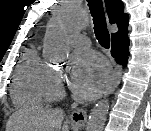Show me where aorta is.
Wrapping results in <instances>:
<instances>
[{
  "instance_id": "aorta-1",
  "label": "aorta",
  "mask_w": 151,
  "mask_h": 131,
  "mask_svg": "<svg viewBox=\"0 0 151 131\" xmlns=\"http://www.w3.org/2000/svg\"><path fill=\"white\" fill-rule=\"evenodd\" d=\"M50 23L45 38L44 55L51 61H60L68 54L65 33L80 29L82 22L71 6H64ZM108 111V100L97 102L89 114L86 131H103Z\"/></svg>"
}]
</instances>
